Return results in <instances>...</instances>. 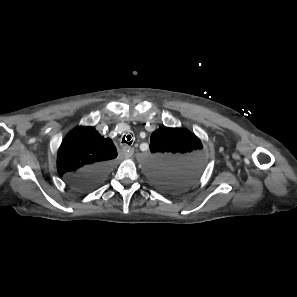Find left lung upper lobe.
I'll return each mask as SVG.
<instances>
[{
  "mask_svg": "<svg viewBox=\"0 0 297 297\" xmlns=\"http://www.w3.org/2000/svg\"><path fill=\"white\" fill-rule=\"evenodd\" d=\"M202 149L199 138L188 130L160 127L150 138L152 156L148 174L151 180L168 190L191 184L204 166Z\"/></svg>",
  "mask_w": 297,
  "mask_h": 297,
  "instance_id": "obj_1",
  "label": "left lung upper lobe"
}]
</instances>
